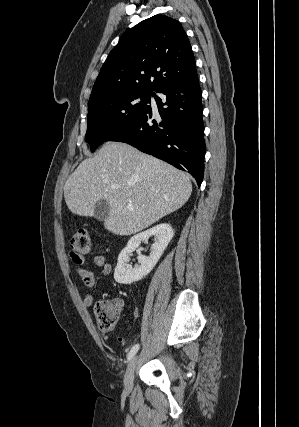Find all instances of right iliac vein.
Instances as JSON below:
<instances>
[{"label": "right iliac vein", "instance_id": "1", "mask_svg": "<svg viewBox=\"0 0 299 427\" xmlns=\"http://www.w3.org/2000/svg\"><path fill=\"white\" fill-rule=\"evenodd\" d=\"M136 364H137V356H134L132 357V359L128 364L125 377H124V387L127 391L132 390Z\"/></svg>", "mask_w": 299, "mask_h": 427}]
</instances>
